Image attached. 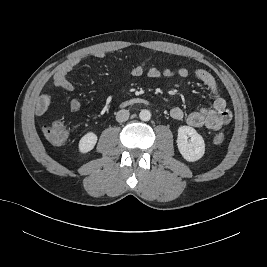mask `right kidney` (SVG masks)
<instances>
[{
    "label": "right kidney",
    "instance_id": "right-kidney-1",
    "mask_svg": "<svg viewBox=\"0 0 267 267\" xmlns=\"http://www.w3.org/2000/svg\"><path fill=\"white\" fill-rule=\"evenodd\" d=\"M97 142V136L94 132H87L79 141V151L83 154L91 151Z\"/></svg>",
    "mask_w": 267,
    "mask_h": 267
}]
</instances>
